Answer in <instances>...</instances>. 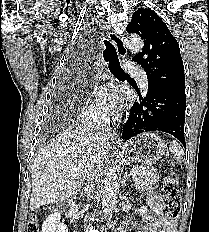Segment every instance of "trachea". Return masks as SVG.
Instances as JSON below:
<instances>
[{
  "instance_id": "trachea-1",
  "label": "trachea",
  "mask_w": 209,
  "mask_h": 232,
  "mask_svg": "<svg viewBox=\"0 0 209 232\" xmlns=\"http://www.w3.org/2000/svg\"><path fill=\"white\" fill-rule=\"evenodd\" d=\"M104 45L105 49L103 51V57L105 61L108 62L111 73L117 78H130L129 75L121 68L114 45L108 40H104Z\"/></svg>"
}]
</instances>
